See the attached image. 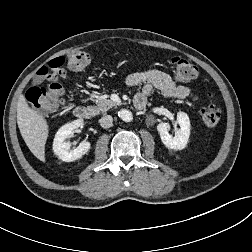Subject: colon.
Returning a JSON list of instances; mask_svg holds the SVG:
<instances>
[{
    "label": "colon",
    "instance_id": "colon-1",
    "mask_svg": "<svg viewBox=\"0 0 252 252\" xmlns=\"http://www.w3.org/2000/svg\"><path fill=\"white\" fill-rule=\"evenodd\" d=\"M91 62V56L85 51H76L68 57H58L49 62L46 67H42L37 72V80L48 81V87L32 86L26 94L27 103L40 112H48L57 109L65 101L64 89L57 82L58 75L63 72L65 64L72 70H82ZM170 63L173 67L174 76L179 81H190L198 76V69L195 65L182 58H172ZM207 97L210 102L200 110V116L207 127H214L219 123L221 110L219 106L211 100V95Z\"/></svg>",
    "mask_w": 252,
    "mask_h": 252
}]
</instances>
